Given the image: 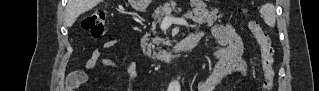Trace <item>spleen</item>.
<instances>
[{
    "label": "spleen",
    "mask_w": 319,
    "mask_h": 91,
    "mask_svg": "<svg viewBox=\"0 0 319 91\" xmlns=\"http://www.w3.org/2000/svg\"><path fill=\"white\" fill-rule=\"evenodd\" d=\"M260 14L263 17L264 22L274 27L276 22L275 7L271 3H266L260 8Z\"/></svg>",
    "instance_id": "1"
}]
</instances>
